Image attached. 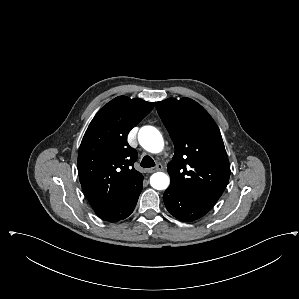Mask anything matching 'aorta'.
I'll return each mask as SVG.
<instances>
[{
	"label": "aorta",
	"mask_w": 299,
	"mask_h": 299,
	"mask_svg": "<svg viewBox=\"0 0 299 299\" xmlns=\"http://www.w3.org/2000/svg\"><path fill=\"white\" fill-rule=\"evenodd\" d=\"M138 141L145 150L151 153H159L164 146L161 133L152 126H144L140 129ZM150 184L154 189L164 190L169 186L170 178L163 172H157L150 177Z\"/></svg>",
	"instance_id": "aorta-1"
}]
</instances>
